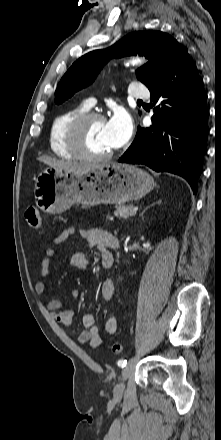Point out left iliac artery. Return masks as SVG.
Segmentation results:
<instances>
[{
	"label": "left iliac artery",
	"instance_id": "44dca946",
	"mask_svg": "<svg viewBox=\"0 0 221 440\" xmlns=\"http://www.w3.org/2000/svg\"><path fill=\"white\" fill-rule=\"evenodd\" d=\"M126 364H127V360H119L118 361V366H120V367H125L126 366Z\"/></svg>",
	"mask_w": 221,
	"mask_h": 440
}]
</instances>
